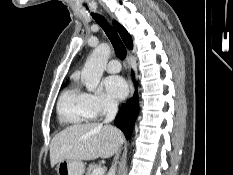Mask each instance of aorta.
Wrapping results in <instances>:
<instances>
[{
    "label": "aorta",
    "mask_w": 233,
    "mask_h": 175,
    "mask_svg": "<svg viewBox=\"0 0 233 175\" xmlns=\"http://www.w3.org/2000/svg\"><path fill=\"white\" fill-rule=\"evenodd\" d=\"M109 56L110 46L103 43L97 46L87 59L82 70L81 79L85 82L88 91H94L97 88Z\"/></svg>",
    "instance_id": "762f6f07"
}]
</instances>
